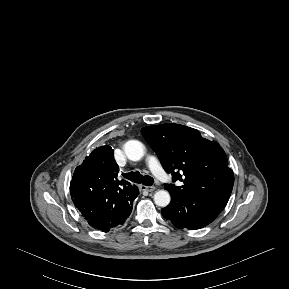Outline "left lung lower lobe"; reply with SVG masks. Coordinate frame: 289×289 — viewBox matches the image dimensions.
I'll return each instance as SVG.
<instances>
[{"instance_id": "1", "label": "left lung lower lobe", "mask_w": 289, "mask_h": 289, "mask_svg": "<svg viewBox=\"0 0 289 289\" xmlns=\"http://www.w3.org/2000/svg\"><path fill=\"white\" fill-rule=\"evenodd\" d=\"M171 194L170 204L161 210L163 217L180 229L196 230L210 224L222 211L197 198Z\"/></svg>"}]
</instances>
